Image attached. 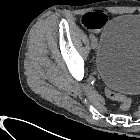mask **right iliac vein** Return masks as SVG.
I'll list each match as a JSON object with an SVG mask.
<instances>
[{"mask_svg":"<svg viewBox=\"0 0 140 140\" xmlns=\"http://www.w3.org/2000/svg\"><path fill=\"white\" fill-rule=\"evenodd\" d=\"M92 49H96L97 47V41L94 39H92V43H91Z\"/></svg>","mask_w":140,"mask_h":140,"instance_id":"1","label":"right iliac vein"}]
</instances>
